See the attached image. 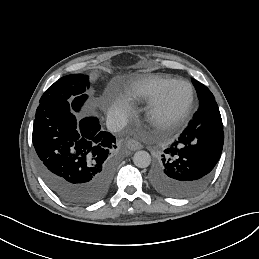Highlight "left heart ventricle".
<instances>
[{"mask_svg":"<svg viewBox=\"0 0 259 259\" xmlns=\"http://www.w3.org/2000/svg\"><path fill=\"white\" fill-rule=\"evenodd\" d=\"M145 85L146 94L157 106L153 117L161 122L181 111L191 97L190 88L182 81L163 83L153 77H147Z\"/></svg>","mask_w":259,"mask_h":259,"instance_id":"left-heart-ventricle-1","label":"left heart ventricle"}]
</instances>
